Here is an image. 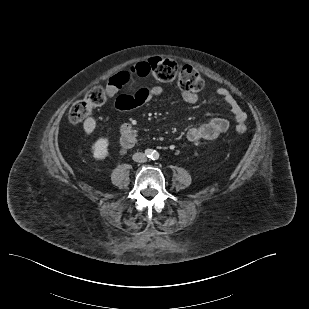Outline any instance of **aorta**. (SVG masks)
Masks as SVG:
<instances>
[{
    "label": "aorta",
    "instance_id": "762f6f07",
    "mask_svg": "<svg viewBox=\"0 0 309 309\" xmlns=\"http://www.w3.org/2000/svg\"><path fill=\"white\" fill-rule=\"evenodd\" d=\"M158 153L156 151H153L151 153V158L155 159L157 157Z\"/></svg>",
    "mask_w": 309,
    "mask_h": 309
}]
</instances>
